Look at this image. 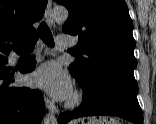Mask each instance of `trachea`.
Segmentation results:
<instances>
[{
  "label": "trachea",
  "mask_w": 156,
  "mask_h": 124,
  "mask_svg": "<svg viewBox=\"0 0 156 124\" xmlns=\"http://www.w3.org/2000/svg\"><path fill=\"white\" fill-rule=\"evenodd\" d=\"M39 37H41V39L47 46L54 47V39L52 33L47 24L45 22H42L38 30L32 35L27 50H32L34 48Z\"/></svg>",
  "instance_id": "1"
}]
</instances>
